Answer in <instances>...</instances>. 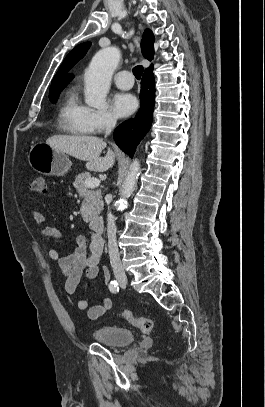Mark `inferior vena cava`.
<instances>
[{"label": "inferior vena cava", "mask_w": 265, "mask_h": 407, "mask_svg": "<svg viewBox=\"0 0 265 407\" xmlns=\"http://www.w3.org/2000/svg\"><path fill=\"white\" fill-rule=\"evenodd\" d=\"M116 125V118L112 115H108L105 118V136L109 135ZM107 237H108V248H109V258L110 264L112 266L114 275L116 278H125V271L120 260V254L117 246L116 240V225L114 216L111 212L107 215Z\"/></svg>", "instance_id": "602c4592"}]
</instances>
